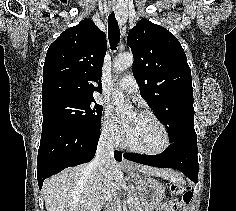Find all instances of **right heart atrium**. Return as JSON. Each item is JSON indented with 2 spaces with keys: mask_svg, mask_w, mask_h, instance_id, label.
I'll use <instances>...</instances> for the list:
<instances>
[{
  "mask_svg": "<svg viewBox=\"0 0 236 211\" xmlns=\"http://www.w3.org/2000/svg\"><path fill=\"white\" fill-rule=\"evenodd\" d=\"M101 137L105 142L111 145L119 144L122 138L121 131L108 110H106L103 115Z\"/></svg>",
  "mask_w": 236,
  "mask_h": 211,
  "instance_id": "d8ad5b80",
  "label": "right heart atrium"
}]
</instances>
